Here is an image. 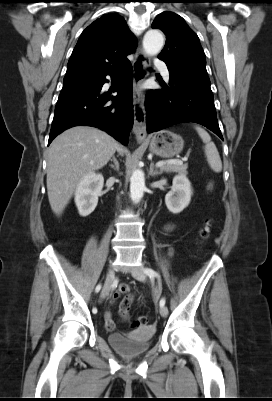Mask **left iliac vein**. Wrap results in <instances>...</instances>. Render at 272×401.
Returning a JSON list of instances; mask_svg holds the SVG:
<instances>
[{"label": "left iliac vein", "mask_w": 272, "mask_h": 401, "mask_svg": "<svg viewBox=\"0 0 272 401\" xmlns=\"http://www.w3.org/2000/svg\"><path fill=\"white\" fill-rule=\"evenodd\" d=\"M132 276L135 279L139 280V281H145L146 280V275H145L144 271L141 268H135L132 271ZM159 312H160V315L162 317H167V315H168V309L165 306H160L159 307Z\"/></svg>", "instance_id": "obj_1"}]
</instances>
